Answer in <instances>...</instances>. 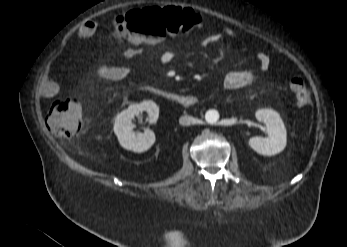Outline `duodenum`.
<instances>
[{
    "mask_svg": "<svg viewBox=\"0 0 347 247\" xmlns=\"http://www.w3.org/2000/svg\"><path fill=\"white\" fill-rule=\"evenodd\" d=\"M158 95L182 107H192L198 103V98L190 94H178L168 91H159Z\"/></svg>",
    "mask_w": 347,
    "mask_h": 247,
    "instance_id": "410a0bca",
    "label": "duodenum"
}]
</instances>
